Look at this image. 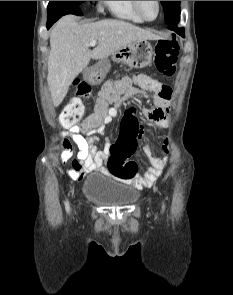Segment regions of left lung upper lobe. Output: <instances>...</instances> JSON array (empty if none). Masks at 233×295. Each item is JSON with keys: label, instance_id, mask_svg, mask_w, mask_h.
Returning a JSON list of instances; mask_svg holds the SVG:
<instances>
[{"label": "left lung upper lobe", "instance_id": "obj_1", "mask_svg": "<svg viewBox=\"0 0 233 295\" xmlns=\"http://www.w3.org/2000/svg\"><path fill=\"white\" fill-rule=\"evenodd\" d=\"M165 13V21L172 26L180 20V1H160Z\"/></svg>", "mask_w": 233, "mask_h": 295}]
</instances>
